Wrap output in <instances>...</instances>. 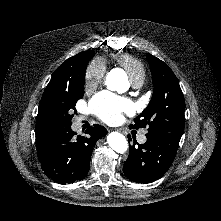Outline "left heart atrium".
<instances>
[{
    "label": "left heart atrium",
    "instance_id": "39dd6f15",
    "mask_svg": "<svg viewBox=\"0 0 221 221\" xmlns=\"http://www.w3.org/2000/svg\"><path fill=\"white\" fill-rule=\"evenodd\" d=\"M90 109L102 121L116 123L120 121L124 113L132 112L133 104L127 98L103 91L93 97Z\"/></svg>",
    "mask_w": 221,
    "mask_h": 221
}]
</instances>
